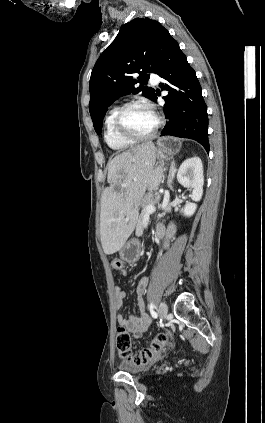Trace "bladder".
<instances>
[{"label":"bladder","instance_id":"1","mask_svg":"<svg viewBox=\"0 0 265 423\" xmlns=\"http://www.w3.org/2000/svg\"><path fill=\"white\" fill-rule=\"evenodd\" d=\"M155 359H157V357ZM119 367H120L121 370H123V371H125L127 373H130V374H139V373H141L142 371H144L146 369V366H144V367H137V368H130V367L124 365V364H121Z\"/></svg>","mask_w":265,"mask_h":423}]
</instances>
